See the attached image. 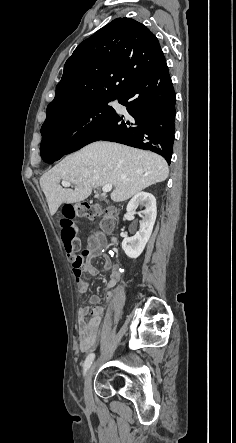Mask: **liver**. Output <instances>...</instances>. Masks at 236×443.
Returning a JSON list of instances; mask_svg holds the SVG:
<instances>
[{"label": "liver", "mask_w": 236, "mask_h": 443, "mask_svg": "<svg viewBox=\"0 0 236 443\" xmlns=\"http://www.w3.org/2000/svg\"><path fill=\"white\" fill-rule=\"evenodd\" d=\"M169 174L168 164L158 154L113 142H94L68 155L40 178L53 216L64 203L85 200L93 188L112 184L111 199L123 202L145 188L163 182ZM75 189H64L60 181Z\"/></svg>", "instance_id": "6515ba94"}]
</instances>
